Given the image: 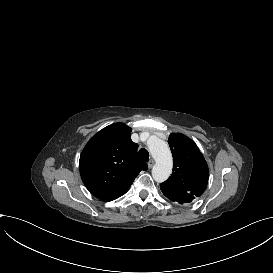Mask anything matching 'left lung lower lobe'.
<instances>
[{"instance_id": "obj_1", "label": "left lung lower lobe", "mask_w": 273, "mask_h": 273, "mask_svg": "<svg viewBox=\"0 0 273 273\" xmlns=\"http://www.w3.org/2000/svg\"><path fill=\"white\" fill-rule=\"evenodd\" d=\"M194 198H195V196L188 195V196H185V197H180V198H175V199H170V200L177 201L180 204H183V203L191 202Z\"/></svg>"}]
</instances>
